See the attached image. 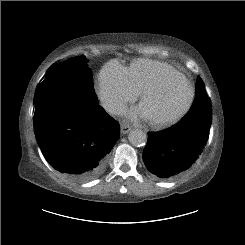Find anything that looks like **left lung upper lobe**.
<instances>
[{
	"instance_id": "left-lung-upper-lobe-1",
	"label": "left lung upper lobe",
	"mask_w": 245,
	"mask_h": 245,
	"mask_svg": "<svg viewBox=\"0 0 245 245\" xmlns=\"http://www.w3.org/2000/svg\"><path fill=\"white\" fill-rule=\"evenodd\" d=\"M201 83V80L197 78L196 85ZM203 95L208 96L206 91L202 95L195 96V100L188 111V113L178 122L179 124H191V123H203L207 119H210V103L209 99H201ZM197 97V98H196ZM202 101L204 105L198 103Z\"/></svg>"
}]
</instances>
